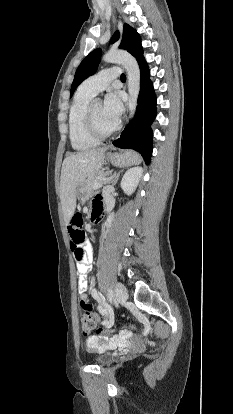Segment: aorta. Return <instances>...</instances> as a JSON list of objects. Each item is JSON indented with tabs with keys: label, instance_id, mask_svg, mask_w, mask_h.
<instances>
[{
	"label": "aorta",
	"instance_id": "aorta-1",
	"mask_svg": "<svg viewBox=\"0 0 233 414\" xmlns=\"http://www.w3.org/2000/svg\"><path fill=\"white\" fill-rule=\"evenodd\" d=\"M103 60L107 63L121 64L126 69L128 77V108L130 118H133L140 91V69L136 59L126 51L110 50L103 56ZM95 102H100V99H96Z\"/></svg>",
	"mask_w": 233,
	"mask_h": 414
}]
</instances>
